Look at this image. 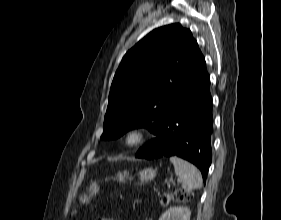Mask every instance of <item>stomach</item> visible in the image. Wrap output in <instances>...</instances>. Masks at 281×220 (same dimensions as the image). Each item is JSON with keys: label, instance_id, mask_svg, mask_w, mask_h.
I'll use <instances>...</instances> for the list:
<instances>
[{"label": "stomach", "instance_id": "1", "mask_svg": "<svg viewBox=\"0 0 281 220\" xmlns=\"http://www.w3.org/2000/svg\"><path fill=\"white\" fill-rule=\"evenodd\" d=\"M128 177V174L127 173H121V172H118L117 176H116V179L120 182L124 181L125 178ZM139 177H140V180L141 181H151L153 180L155 177H156V171L152 168H146V169H143L139 172ZM98 191V186L96 183H92L91 186H90V192H91V195L96 193ZM90 199V197H88L87 195H84V196H81L80 200L85 203V202H88Z\"/></svg>", "mask_w": 281, "mask_h": 220}]
</instances>
